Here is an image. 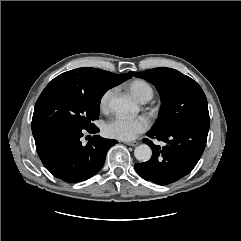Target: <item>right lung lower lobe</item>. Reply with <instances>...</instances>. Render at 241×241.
Instances as JSON below:
<instances>
[{
    "instance_id": "obj_1",
    "label": "right lung lower lobe",
    "mask_w": 241,
    "mask_h": 241,
    "mask_svg": "<svg viewBox=\"0 0 241 241\" xmlns=\"http://www.w3.org/2000/svg\"><path fill=\"white\" fill-rule=\"evenodd\" d=\"M87 131L97 133L99 129L95 126ZM83 132L81 128L68 125L32 130L37 153L53 176L68 183L89 179L101 169L107 151L117 143L116 140L94 135L92 140L83 146L80 140Z\"/></svg>"
}]
</instances>
